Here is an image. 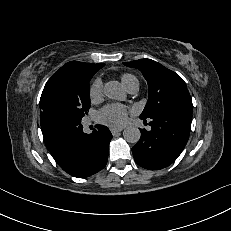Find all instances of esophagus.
Wrapping results in <instances>:
<instances>
[{"label": "esophagus", "instance_id": "34e87169", "mask_svg": "<svg viewBox=\"0 0 231 231\" xmlns=\"http://www.w3.org/2000/svg\"><path fill=\"white\" fill-rule=\"evenodd\" d=\"M123 129L122 128H111L110 131L112 133V135H117L118 133H120Z\"/></svg>", "mask_w": 231, "mask_h": 231}]
</instances>
